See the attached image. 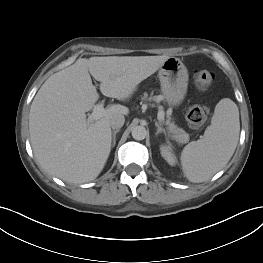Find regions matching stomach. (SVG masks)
<instances>
[{
	"label": "stomach",
	"mask_w": 263,
	"mask_h": 263,
	"mask_svg": "<svg viewBox=\"0 0 263 263\" xmlns=\"http://www.w3.org/2000/svg\"><path fill=\"white\" fill-rule=\"evenodd\" d=\"M161 83V92L170 106L182 103L188 88V70L182 61L169 57L160 67L158 72Z\"/></svg>",
	"instance_id": "obj_1"
}]
</instances>
